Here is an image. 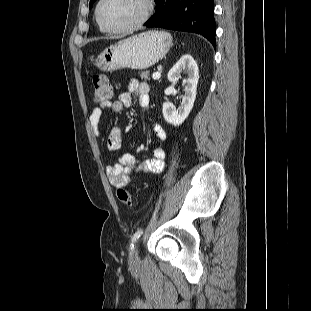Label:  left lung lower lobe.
Instances as JSON below:
<instances>
[{"label":"left lung lower lobe","instance_id":"obj_1","mask_svg":"<svg viewBox=\"0 0 311 311\" xmlns=\"http://www.w3.org/2000/svg\"><path fill=\"white\" fill-rule=\"evenodd\" d=\"M155 14L144 24L170 30L193 32L207 38L216 47L213 0H154Z\"/></svg>","mask_w":311,"mask_h":311}]
</instances>
